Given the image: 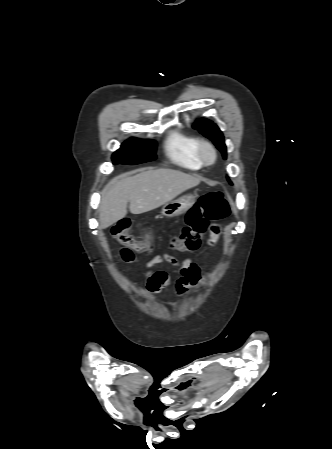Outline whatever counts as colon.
I'll list each match as a JSON object with an SVG mask.
<instances>
[{
  "label": "colon",
  "mask_w": 332,
  "mask_h": 449,
  "mask_svg": "<svg viewBox=\"0 0 332 449\" xmlns=\"http://www.w3.org/2000/svg\"><path fill=\"white\" fill-rule=\"evenodd\" d=\"M230 207L221 192H210L202 196L186 214V224L178 236L173 237L172 247L184 253L196 252L202 238L208 231H216L215 223L226 218ZM131 221L121 219L112 227L114 238L122 244L121 256L126 262L134 258L135 253H142L151 247L146 240L131 234Z\"/></svg>",
  "instance_id": "colon-1"
}]
</instances>
